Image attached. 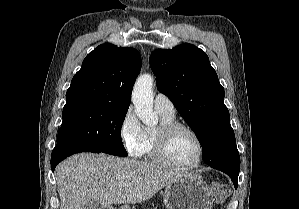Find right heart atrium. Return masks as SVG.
I'll list each match as a JSON object with an SVG mask.
<instances>
[{"label":"right heart atrium","mask_w":299,"mask_h":209,"mask_svg":"<svg viewBox=\"0 0 299 209\" xmlns=\"http://www.w3.org/2000/svg\"><path fill=\"white\" fill-rule=\"evenodd\" d=\"M119 134L128 154L134 157L141 156L145 143V129L132 107L126 110L121 119Z\"/></svg>","instance_id":"obj_1"}]
</instances>
